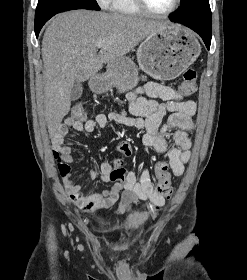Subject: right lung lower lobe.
Segmentation results:
<instances>
[{"mask_svg": "<svg viewBox=\"0 0 247 280\" xmlns=\"http://www.w3.org/2000/svg\"><path fill=\"white\" fill-rule=\"evenodd\" d=\"M43 25H44V24L35 25V34H36V37H38L39 32H40V30H41V28H42Z\"/></svg>", "mask_w": 247, "mask_h": 280, "instance_id": "98d812e1", "label": "right lung lower lobe"}]
</instances>
